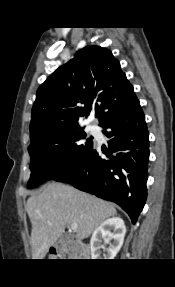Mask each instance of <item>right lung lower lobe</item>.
<instances>
[{"instance_id": "98d812e1", "label": "right lung lower lobe", "mask_w": 175, "mask_h": 287, "mask_svg": "<svg viewBox=\"0 0 175 287\" xmlns=\"http://www.w3.org/2000/svg\"><path fill=\"white\" fill-rule=\"evenodd\" d=\"M99 125L108 129L103 131L110 139L108 159L93 147L80 165L55 181L71 183L79 190L115 202L136 223L147 198L149 158V134L139 101Z\"/></svg>"}]
</instances>
